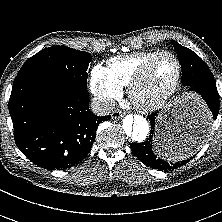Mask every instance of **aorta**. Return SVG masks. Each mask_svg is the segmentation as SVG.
<instances>
[{"label": "aorta", "instance_id": "aorta-1", "mask_svg": "<svg viewBox=\"0 0 222 222\" xmlns=\"http://www.w3.org/2000/svg\"><path fill=\"white\" fill-rule=\"evenodd\" d=\"M123 135L126 139L135 143L146 140L150 127L149 123L141 115H127L122 122Z\"/></svg>", "mask_w": 222, "mask_h": 222}]
</instances>
